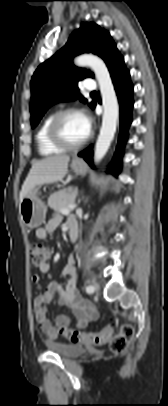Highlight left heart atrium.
Returning a JSON list of instances; mask_svg holds the SVG:
<instances>
[{"instance_id": "39dd6f15", "label": "left heart atrium", "mask_w": 168, "mask_h": 406, "mask_svg": "<svg viewBox=\"0 0 168 406\" xmlns=\"http://www.w3.org/2000/svg\"><path fill=\"white\" fill-rule=\"evenodd\" d=\"M81 117H82V122H83V125H84V128H85L87 134H90V131L92 128V123H91L90 117L85 113H81Z\"/></svg>"}]
</instances>
